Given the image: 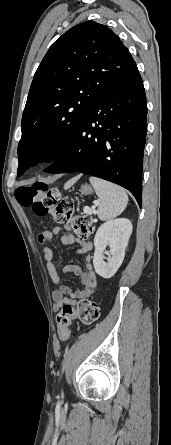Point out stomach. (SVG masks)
Here are the masks:
<instances>
[{
	"label": "stomach",
	"mask_w": 171,
	"mask_h": 445,
	"mask_svg": "<svg viewBox=\"0 0 171 445\" xmlns=\"http://www.w3.org/2000/svg\"><path fill=\"white\" fill-rule=\"evenodd\" d=\"M80 192L83 195H88V194H91L93 192V190L89 185L85 184V185L81 186Z\"/></svg>",
	"instance_id": "stomach-1"
}]
</instances>
